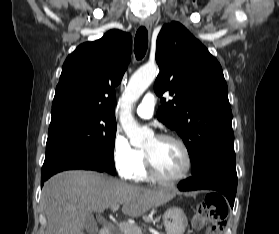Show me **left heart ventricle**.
I'll return each mask as SVG.
<instances>
[{"label":"left heart ventricle","instance_id":"obj_1","mask_svg":"<svg viewBox=\"0 0 279 234\" xmlns=\"http://www.w3.org/2000/svg\"><path fill=\"white\" fill-rule=\"evenodd\" d=\"M145 150L152 155L158 173L167 179L176 178L185 167L184 155L179 146L172 141H158L152 138Z\"/></svg>","mask_w":279,"mask_h":234}]
</instances>
